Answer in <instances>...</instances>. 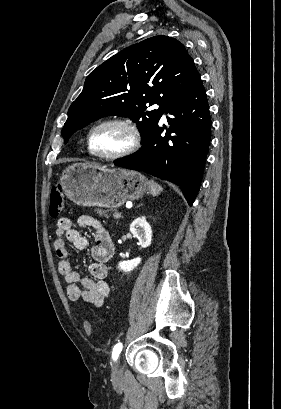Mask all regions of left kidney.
Returning a JSON list of instances; mask_svg holds the SVG:
<instances>
[{
	"mask_svg": "<svg viewBox=\"0 0 281 409\" xmlns=\"http://www.w3.org/2000/svg\"><path fill=\"white\" fill-rule=\"evenodd\" d=\"M130 233H132L133 237L138 239L139 245H141L143 249L150 247L152 229L149 223H147L146 217H137V219H134L130 225ZM139 263H141L140 257H136V259H132V261H121V263H118L117 269L123 271V273H130L135 267H138Z\"/></svg>",
	"mask_w": 281,
	"mask_h": 409,
	"instance_id": "1",
	"label": "left kidney"
}]
</instances>
